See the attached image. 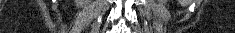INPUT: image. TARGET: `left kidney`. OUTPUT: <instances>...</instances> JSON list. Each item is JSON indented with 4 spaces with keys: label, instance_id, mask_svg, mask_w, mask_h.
Segmentation results:
<instances>
[{
    "label": "left kidney",
    "instance_id": "left-kidney-1",
    "mask_svg": "<svg viewBox=\"0 0 235 33\" xmlns=\"http://www.w3.org/2000/svg\"><path fill=\"white\" fill-rule=\"evenodd\" d=\"M162 2L166 3V2H167V0H162Z\"/></svg>",
    "mask_w": 235,
    "mask_h": 33
}]
</instances>
